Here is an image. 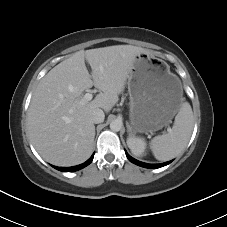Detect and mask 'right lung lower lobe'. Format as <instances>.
I'll list each match as a JSON object with an SVG mask.
<instances>
[{
  "label": "right lung lower lobe",
  "mask_w": 227,
  "mask_h": 227,
  "mask_svg": "<svg viewBox=\"0 0 227 227\" xmlns=\"http://www.w3.org/2000/svg\"><path fill=\"white\" fill-rule=\"evenodd\" d=\"M94 154L83 164L77 165V166H73V167H56L53 166L55 169L62 171V172H73V171H77L80 170L84 167H86L87 165H89L92 160H93Z\"/></svg>",
  "instance_id": "98d812e1"
}]
</instances>
